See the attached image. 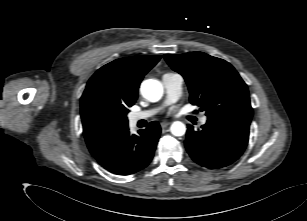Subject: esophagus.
I'll return each mask as SVG.
<instances>
[{"mask_svg":"<svg viewBox=\"0 0 307 221\" xmlns=\"http://www.w3.org/2000/svg\"><path fill=\"white\" fill-rule=\"evenodd\" d=\"M170 123L171 122H169V121H164L160 125H161L162 128H166Z\"/></svg>","mask_w":307,"mask_h":221,"instance_id":"esophagus-1","label":"esophagus"}]
</instances>
